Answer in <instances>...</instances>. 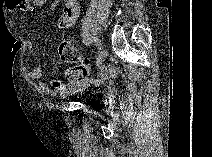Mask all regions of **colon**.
I'll return each mask as SVG.
<instances>
[{
	"instance_id": "obj_1",
	"label": "colon",
	"mask_w": 212,
	"mask_h": 157,
	"mask_svg": "<svg viewBox=\"0 0 212 157\" xmlns=\"http://www.w3.org/2000/svg\"><path fill=\"white\" fill-rule=\"evenodd\" d=\"M58 54L63 62L76 66L74 72L76 78L81 80L87 78L89 69L73 39L64 38L58 46Z\"/></svg>"
}]
</instances>
